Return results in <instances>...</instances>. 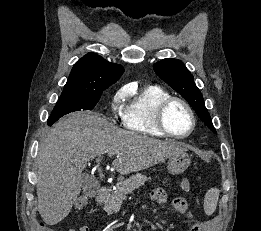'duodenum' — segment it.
Masks as SVG:
<instances>
[{"label": "duodenum", "mask_w": 261, "mask_h": 231, "mask_svg": "<svg viewBox=\"0 0 261 231\" xmlns=\"http://www.w3.org/2000/svg\"><path fill=\"white\" fill-rule=\"evenodd\" d=\"M108 192H109V187L108 186H103L100 189L99 193L96 196L97 204H101L104 201V199L106 198Z\"/></svg>", "instance_id": "1"}]
</instances>
